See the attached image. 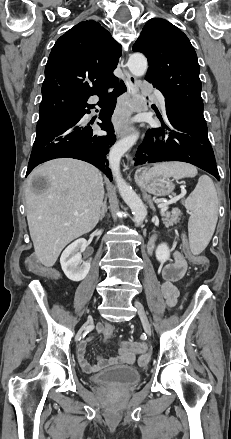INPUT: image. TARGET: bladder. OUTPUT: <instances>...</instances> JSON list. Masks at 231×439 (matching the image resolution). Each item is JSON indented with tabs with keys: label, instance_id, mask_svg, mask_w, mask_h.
Listing matches in <instances>:
<instances>
[{
	"label": "bladder",
	"instance_id": "31cf9c89",
	"mask_svg": "<svg viewBox=\"0 0 231 439\" xmlns=\"http://www.w3.org/2000/svg\"><path fill=\"white\" fill-rule=\"evenodd\" d=\"M140 377V373L136 368L128 365H119L92 375L90 380L95 384L127 387L139 382Z\"/></svg>",
	"mask_w": 231,
	"mask_h": 439
}]
</instances>
